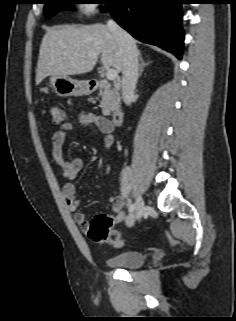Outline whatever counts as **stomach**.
<instances>
[{
  "instance_id": "stomach-1",
  "label": "stomach",
  "mask_w": 236,
  "mask_h": 321,
  "mask_svg": "<svg viewBox=\"0 0 236 321\" xmlns=\"http://www.w3.org/2000/svg\"><path fill=\"white\" fill-rule=\"evenodd\" d=\"M50 85L62 97L82 96L90 92L86 81L75 80L68 76H51Z\"/></svg>"
}]
</instances>
